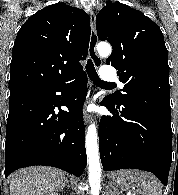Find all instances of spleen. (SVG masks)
Here are the masks:
<instances>
[{
    "instance_id": "3e777b00",
    "label": "spleen",
    "mask_w": 178,
    "mask_h": 195,
    "mask_svg": "<svg viewBox=\"0 0 178 195\" xmlns=\"http://www.w3.org/2000/svg\"><path fill=\"white\" fill-rule=\"evenodd\" d=\"M119 174L127 177L131 182L138 183L143 195H162L161 183L152 174L139 170H123Z\"/></svg>"
}]
</instances>
